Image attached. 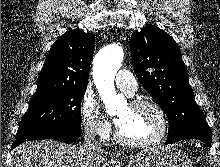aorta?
Masks as SVG:
<instances>
[{
  "mask_svg": "<svg viewBox=\"0 0 220 167\" xmlns=\"http://www.w3.org/2000/svg\"><path fill=\"white\" fill-rule=\"evenodd\" d=\"M123 57L122 47L111 44L103 48L93 61L94 83L109 115L115 114L125 102L124 97L116 94L114 87V78L122 66Z\"/></svg>",
  "mask_w": 220,
  "mask_h": 167,
  "instance_id": "obj_1",
  "label": "aorta"
}]
</instances>
